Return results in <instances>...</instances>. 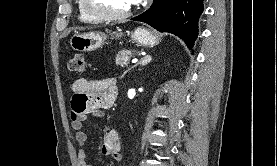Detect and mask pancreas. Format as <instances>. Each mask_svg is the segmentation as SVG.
I'll use <instances>...</instances> for the list:
<instances>
[{
  "label": "pancreas",
  "instance_id": "cf45deb5",
  "mask_svg": "<svg viewBox=\"0 0 277 166\" xmlns=\"http://www.w3.org/2000/svg\"><path fill=\"white\" fill-rule=\"evenodd\" d=\"M136 54L134 50H121L116 55V64L123 67L127 65L131 59Z\"/></svg>",
  "mask_w": 277,
  "mask_h": 166
}]
</instances>
